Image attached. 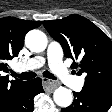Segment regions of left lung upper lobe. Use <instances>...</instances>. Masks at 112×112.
Instances as JSON below:
<instances>
[{"label":"left lung upper lobe","instance_id":"obj_1","mask_svg":"<svg viewBox=\"0 0 112 112\" xmlns=\"http://www.w3.org/2000/svg\"><path fill=\"white\" fill-rule=\"evenodd\" d=\"M43 24L61 44L65 56L73 60L71 66L77 69V75L87 74L83 89L112 93V41L109 37L77 14Z\"/></svg>","mask_w":112,"mask_h":112}]
</instances>
